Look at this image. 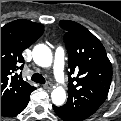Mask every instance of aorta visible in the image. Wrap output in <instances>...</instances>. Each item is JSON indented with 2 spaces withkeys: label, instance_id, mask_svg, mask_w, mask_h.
Listing matches in <instances>:
<instances>
[{
  "label": "aorta",
  "instance_id": "obj_1",
  "mask_svg": "<svg viewBox=\"0 0 121 121\" xmlns=\"http://www.w3.org/2000/svg\"><path fill=\"white\" fill-rule=\"evenodd\" d=\"M34 62L41 67H49L52 64L53 56L50 48L45 44H38L32 52ZM53 104L61 106L66 100V92L62 86L56 87L51 92Z\"/></svg>",
  "mask_w": 121,
  "mask_h": 121
}]
</instances>
